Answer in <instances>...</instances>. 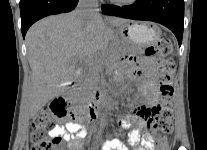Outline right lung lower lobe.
Returning a JSON list of instances; mask_svg holds the SVG:
<instances>
[{
    "mask_svg": "<svg viewBox=\"0 0 207 150\" xmlns=\"http://www.w3.org/2000/svg\"><path fill=\"white\" fill-rule=\"evenodd\" d=\"M78 0H20L21 30L25 34L37 20L48 15L70 12Z\"/></svg>",
    "mask_w": 207,
    "mask_h": 150,
    "instance_id": "right-lung-lower-lobe-1",
    "label": "right lung lower lobe"
}]
</instances>
